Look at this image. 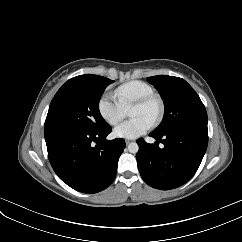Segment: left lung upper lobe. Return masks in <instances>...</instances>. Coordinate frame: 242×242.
<instances>
[{"instance_id": "5c2ea615", "label": "left lung upper lobe", "mask_w": 242, "mask_h": 242, "mask_svg": "<svg viewBox=\"0 0 242 242\" xmlns=\"http://www.w3.org/2000/svg\"><path fill=\"white\" fill-rule=\"evenodd\" d=\"M164 100L165 111L160 125L153 131L163 134L188 124H206V109L194 89L182 78L158 75L147 78Z\"/></svg>"}]
</instances>
